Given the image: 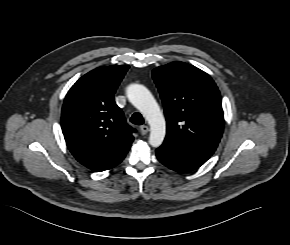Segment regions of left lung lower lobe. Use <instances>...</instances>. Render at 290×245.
<instances>
[{
    "label": "left lung lower lobe",
    "mask_w": 290,
    "mask_h": 245,
    "mask_svg": "<svg viewBox=\"0 0 290 245\" xmlns=\"http://www.w3.org/2000/svg\"><path fill=\"white\" fill-rule=\"evenodd\" d=\"M156 156L166 167L180 173L195 170L206 162L205 160L197 159L175 151L165 145H161L156 150Z\"/></svg>",
    "instance_id": "1"
}]
</instances>
